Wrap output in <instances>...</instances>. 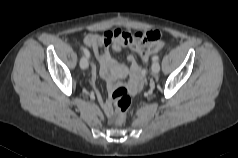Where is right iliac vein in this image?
<instances>
[{"label":"right iliac vein","instance_id":"1","mask_svg":"<svg viewBox=\"0 0 238 158\" xmlns=\"http://www.w3.org/2000/svg\"><path fill=\"white\" fill-rule=\"evenodd\" d=\"M89 66V62H88V58L86 56H83L81 59H80V67L82 69H87Z\"/></svg>","mask_w":238,"mask_h":158}]
</instances>
